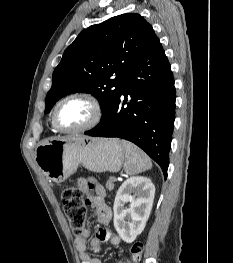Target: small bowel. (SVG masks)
I'll use <instances>...</instances> for the list:
<instances>
[{
	"instance_id": "c3829d8e",
	"label": "small bowel",
	"mask_w": 233,
	"mask_h": 263,
	"mask_svg": "<svg viewBox=\"0 0 233 263\" xmlns=\"http://www.w3.org/2000/svg\"><path fill=\"white\" fill-rule=\"evenodd\" d=\"M80 188L86 194L90 204L96 210V217L99 223L106 225L111 221L112 212L110 206L106 203V193L101 185L96 186V194L91 195L88 192L87 181L81 179L79 181ZM89 232L85 230L82 235L75 239V247L80 256L81 263H101V261L89 253V249L98 251L100 244L109 242L111 245H119L121 238L118 235H113L109 229L99 227L90 243H88ZM114 263H130L129 260L118 259Z\"/></svg>"
}]
</instances>
